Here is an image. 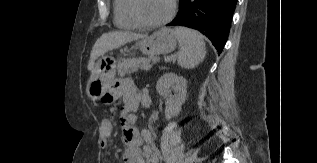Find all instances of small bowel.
I'll return each mask as SVG.
<instances>
[{"label":"small bowel","instance_id":"small-bowel-1","mask_svg":"<svg viewBox=\"0 0 317 163\" xmlns=\"http://www.w3.org/2000/svg\"><path fill=\"white\" fill-rule=\"evenodd\" d=\"M122 99V126L125 149L123 152L124 163H159V151L155 146L153 136L146 129L137 128L138 109L141 96L136 86L129 80H123L116 84L113 90V99ZM112 123L105 120L101 124L102 149L111 146ZM143 143H145L143 145Z\"/></svg>","mask_w":317,"mask_h":163}]
</instances>
